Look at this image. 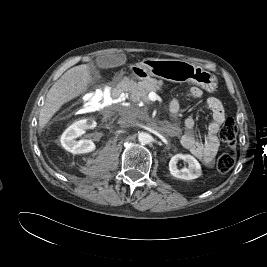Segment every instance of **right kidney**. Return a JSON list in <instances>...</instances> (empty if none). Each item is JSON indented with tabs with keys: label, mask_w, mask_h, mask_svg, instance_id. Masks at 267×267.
Returning <instances> with one entry per match:
<instances>
[{
	"label": "right kidney",
	"mask_w": 267,
	"mask_h": 267,
	"mask_svg": "<svg viewBox=\"0 0 267 267\" xmlns=\"http://www.w3.org/2000/svg\"><path fill=\"white\" fill-rule=\"evenodd\" d=\"M96 122L92 119H82L70 125L61 136V145L73 154H84L95 150L96 146L91 140L76 138L85 133L87 129L96 127Z\"/></svg>",
	"instance_id": "1"
}]
</instances>
